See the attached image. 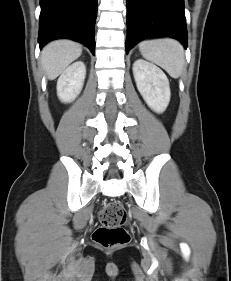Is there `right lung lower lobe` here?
I'll return each mask as SVG.
<instances>
[{"instance_id":"98d812e1","label":"right lung lower lobe","mask_w":231,"mask_h":281,"mask_svg":"<svg viewBox=\"0 0 231 281\" xmlns=\"http://www.w3.org/2000/svg\"><path fill=\"white\" fill-rule=\"evenodd\" d=\"M39 44L69 38L83 43L94 54L97 0H40Z\"/></svg>"}]
</instances>
